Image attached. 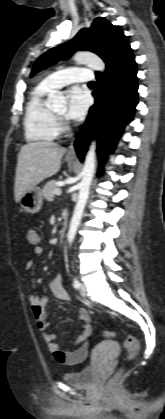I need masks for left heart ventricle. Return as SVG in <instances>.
<instances>
[{
    "instance_id": "obj_1",
    "label": "left heart ventricle",
    "mask_w": 165,
    "mask_h": 419,
    "mask_svg": "<svg viewBox=\"0 0 165 419\" xmlns=\"http://www.w3.org/2000/svg\"><path fill=\"white\" fill-rule=\"evenodd\" d=\"M56 113L61 115V114L64 113V109H59V110L56 111Z\"/></svg>"
}]
</instances>
